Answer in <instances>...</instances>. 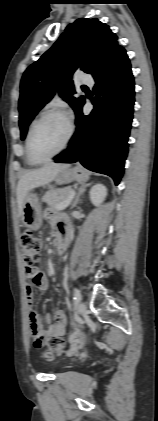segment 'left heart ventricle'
I'll list each match as a JSON object with an SVG mask.
<instances>
[{
  "mask_svg": "<svg viewBox=\"0 0 158 421\" xmlns=\"http://www.w3.org/2000/svg\"><path fill=\"white\" fill-rule=\"evenodd\" d=\"M68 133V124L60 115H50L40 122L32 137V151L38 159H45L55 153L63 144Z\"/></svg>",
  "mask_w": 158,
  "mask_h": 421,
  "instance_id": "left-heart-ventricle-1",
  "label": "left heart ventricle"
}]
</instances>
